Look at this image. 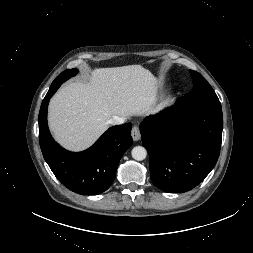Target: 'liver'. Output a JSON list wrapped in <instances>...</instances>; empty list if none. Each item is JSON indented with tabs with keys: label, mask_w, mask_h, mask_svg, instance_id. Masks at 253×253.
I'll return each mask as SVG.
<instances>
[{
	"label": "liver",
	"mask_w": 253,
	"mask_h": 253,
	"mask_svg": "<svg viewBox=\"0 0 253 253\" xmlns=\"http://www.w3.org/2000/svg\"><path fill=\"white\" fill-rule=\"evenodd\" d=\"M158 85L157 78L141 65L97 68L88 81L69 83L51 98L50 130L64 148L85 150L114 116L150 115L164 109L168 102L158 103Z\"/></svg>",
	"instance_id": "obj_1"
}]
</instances>
